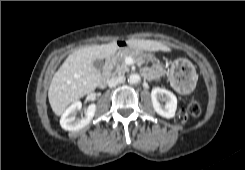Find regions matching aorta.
<instances>
[{
	"instance_id": "aorta-1",
	"label": "aorta",
	"mask_w": 245,
	"mask_h": 170,
	"mask_svg": "<svg viewBox=\"0 0 245 170\" xmlns=\"http://www.w3.org/2000/svg\"><path fill=\"white\" fill-rule=\"evenodd\" d=\"M129 81L132 83V84H138L140 81H141V77L139 74L137 73H132L130 76H129Z\"/></svg>"
}]
</instances>
